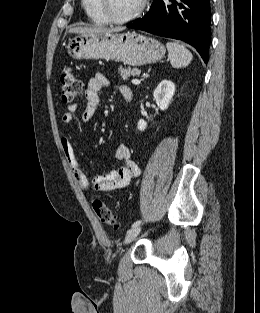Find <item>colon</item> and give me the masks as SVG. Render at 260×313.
<instances>
[{
  "label": "colon",
  "mask_w": 260,
  "mask_h": 313,
  "mask_svg": "<svg viewBox=\"0 0 260 313\" xmlns=\"http://www.w3.org/2000/svg\"><path fill=\"white\" fill-rule=\"evenodd\" d=\"M61 96L63 101L71 102L77 98L83 90V84L73 69L64 68L60 76ZM93 210L99 220L107 225L114 226L115 218L110 208L100 199H95L92 203Z\"/></svg>",
  "instance_id": "1"
}]
</instances>
